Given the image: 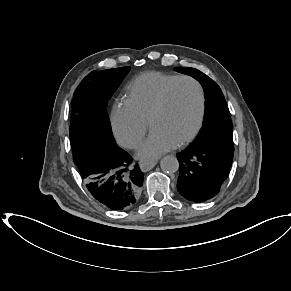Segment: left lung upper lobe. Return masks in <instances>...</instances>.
<instances>
[{
    "label": "left lung upper lobe",
    "mask_w": 291,
    "mask_h": 291,
    "mask_svg": "<svg viewBox=\"0 0 291 291\" xmlns=\"http://www.w3.org/2000/svg\"><path fill=\"white\" fill-rule=\"evenodd\" d=\"M175 70L192 76L202 85L206 97V113L199 134L190 145L214 146L234 151L233 125L220 87L195 68L176 67Z\"/></svg>",
    "instance_id": "5c2ea615"
}]
</instances>
